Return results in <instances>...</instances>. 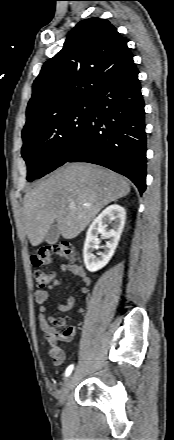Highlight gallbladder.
<instances>
[{
	"mask_svg": "<svg viewBox=\"0 0 174 440\" xmlns=\"http://www.w3.org/2000/svg\"><path fill=\"white\" fill-rule=\"evenodd\" d=\"M59 236V229L56 224H53L45 235V241L48 244L53 245L58 241Z\"/></svg>",
	"mask_w": 174,
	"mask_h": 440,
	"instance_id": "gallbladder-1",
	"label": "gallbladder"
}]
</instances>
